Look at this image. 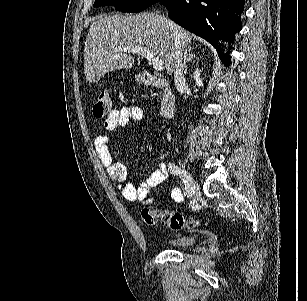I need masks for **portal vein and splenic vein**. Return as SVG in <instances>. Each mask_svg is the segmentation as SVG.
<instances>
[{
  "mask_svg": "<svg viewBox=\"0 0 307 301\" xmlns=\"http://www.w3.org/2000/svg\"><path fill=\"white\" fill-rule=\"evenodd\" d=\"M115 48L119 52H135V54H141V56H145L149 60L150 64H153L155 70H164V64L159 56H154L147 48H141V46H115Z\"/></svg>",
  "mask_w": 307,
  "mask_h": 301,
  "instance_id": "obj_1",
  "label": "portal vein and splenic vein"
}]
</instances>
